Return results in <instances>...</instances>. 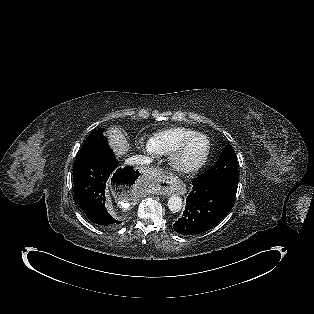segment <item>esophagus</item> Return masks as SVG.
Here are the masks:
<instances>
[{
    "instance_id": "esophagus-1",
    "label": "esophagus",
    "mask_w": 314,
    "mask_h": 314,
    "mask_svg": "<svg viewBox=\"0 0 314 314\" xmlns=\"http://www.w3.org/2000/svg\"><path fill=\"white\" fill-rule=\"evenodd\" d=\"M152 175L155 177V180H157L161 185L159 187L160 194L166 195L171 194L172 192H178L180 194H184L186 189L184 185L173 176H167V175H161V172L157 169H153Z\"/></svg>"
}]
</instances>
